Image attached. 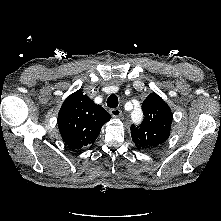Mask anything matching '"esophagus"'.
Returning <instances> with one entry per match:
<instances>
[{"instance_id": "1", "label": "esophagus", "mask_w": 221, "mask_h": 221, "mask_svg": "<svg viewBox=\"0 0 221 221\" xmlns=\"http://www.w3.org/2000/svg\"><path fill=\"white\" fill-rule=\"evenodd\" d=\"M110 114L112 115V117L119 118L122 112L118 108H113V109H110Z\"/></svg>"}]
</instances>
